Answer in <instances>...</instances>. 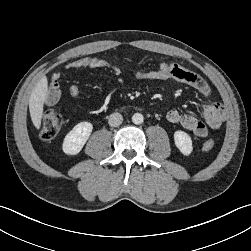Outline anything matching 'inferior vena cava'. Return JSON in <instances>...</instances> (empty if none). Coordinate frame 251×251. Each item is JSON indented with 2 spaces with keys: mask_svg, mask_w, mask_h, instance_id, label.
<instances>
[{
  "mask_svg": "<svg viewBox=\"0 0 251 251\" xmlns=\"http://www.w3.org/2000/svg\"><path fill=\"white\" fill-rule=\"evenodd\" d=\"M122 121H123V117L120 113H113L109 116L108 124L111 127H117L121 125Z\"/></svg>",
  "mask_w": 251,
  "mask_h": 251,
  "instance_id": "602c4592",
  "label": "inferior vena cava"
}]
</instances>
